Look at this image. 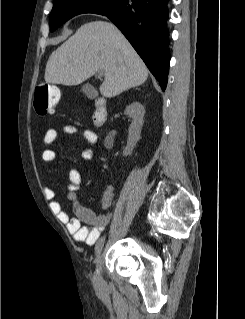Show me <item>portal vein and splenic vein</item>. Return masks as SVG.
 I'll use <instances>...</instances> for the list:
<instances>
[{
    "label": "portal vein and splenic vein",
    "mask_w": 245,
    "mask_h": 319,
    "mask_svg": "<svg viewBox=\"0 0 245 319\" xmlns=\"http://www.w3.org/2000/svg\"><path fill=\"white\" fill-rule=\"evenodd\" d=\"M98 74H99V76H102V75H104V72L103 71H98Z\"/></svg>",
    "instance_id": "1"
}]
</instances>
